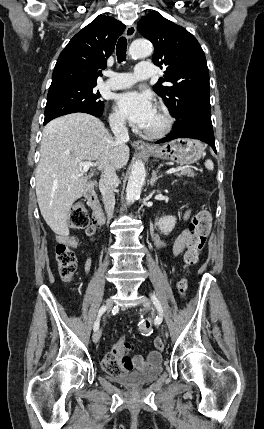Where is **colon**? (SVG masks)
I'll return each mask as SVG.
<instances>
[{"mask_svg": "<svg viewBox=\"0 0 264 429\" xmlns=\"http://www.w3.org/2000/svg\"><path fill=\"white\" fill-rule=\"evenodd\" d=\"M211 221L212 216L208 210H201L192 218L190 223L191 237L184 255V262L187 268L197 263L199 254L205 245L211 227ZM68 223L69 226L74 229H87L92 224L88 211L81 202H77L72 206L68 216ZM56 259L62 279L70 281L77 267L75 252L67 244L58 242L56 245ZM186 289L187 281L186 279H182L179 283V291L181 294H184ZM153 326V320L150 318H146L139 323V329L143 335H149ZM154 345L156 349L161 351L164 348V342L161 338H156L154 340ZM103 366L106 371L114 375L126 372L122 364L117 359L110 356L105 358Z\"/></svg>", "mask_w": 264, "mask_h": 429, "instance_id": "colon-1", "label": "colon"}]
</instances>
